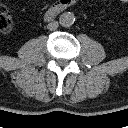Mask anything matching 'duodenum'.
<instances>
[{
	"instance_id": "duodenum-1",
	"label": "duodenum",
	"mask_w": 128,
	"mask_h": 128,
	"mask_svg": "<svg viewBox=\"0 0 128 128\" xmlns=\"http://www.w3.org/2000/svg\"><path fill=\"white\" fill-rule=\"evenodd\" d=\"M77 0H58L55 2L45 13V19L48 21L53 20L59 13L74 6Z\"/></svg>"
}]
</instances>
